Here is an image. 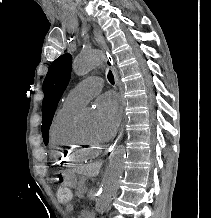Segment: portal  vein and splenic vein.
<instances>
[{
    "instance_id": "obj_1",
    "label": "portal vein and splenic vein",
    "mask_w": 211,
    "mask_h": 218,
    "mask_svg": "<svg viewBox=\"0 0 211 218\" xmlns=\"http://www.w3.org/2000/svg\"><path fill=\"white\" fill-rule=\"evenodd\" d=\"M83 190L86 192L88 189L85 187Z\"/></svg>"
}]
</instances>
